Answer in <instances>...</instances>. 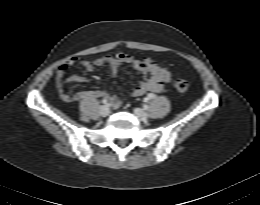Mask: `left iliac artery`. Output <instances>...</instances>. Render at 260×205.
<instances>
[{"mask_svg": "<svg viewBox=\"0 0 260 205\" xmlns=\"http://www.w3.org/2000/svg\"><path fill=\"white\" fill-rule=\"evenodd\" d=\"M143 107H144L145 110L148 109V105H146V104Z\"/></svg>", "mask_w": 260, "mask_h": 205, "instance_id": "1", "label": "left iliac artery"}]
</instances>
